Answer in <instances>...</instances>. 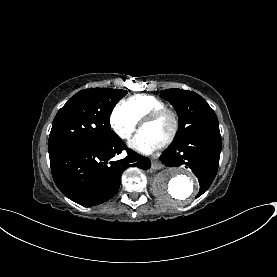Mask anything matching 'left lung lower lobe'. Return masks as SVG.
Listing matches in <instances>:
<instances>
[{
    "label": "left lung lower lobe",
    "instance_id": "left-lung-lower-lobe-1",
    "mask_svg": "<svg viewBox=\"0 0 277 277\" xmlns=\"http://www.w3.org/2000/svg\"><path fill=\"white\" fill-rule=\"evenodd\" d=\"M221 147L220 132H206L174 142L160 158L168 167L186 165V168H191L200 184L198 197L209 188L216 176Z\"/></svg>",
    "mask_w": 277,
    "mask_h": 277
}]
</instances>
